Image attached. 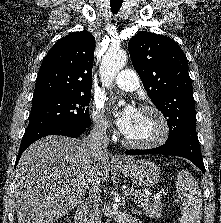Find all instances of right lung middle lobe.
I'll use <instances>...</instances> for the list:
<instances>
[{
	"mask_svg": "<svg viewBox=\"0 0 221 223\" xmlns=\"http://www.w3.org/2000/svg\"><path fill=\"white\" fill-rule=\"evenodd\" d=\"M32 103L26 130L49 124H66L83 128L91 126L87 108L90 103V92L50 96L34 100Z\"/></svg>",
	"mask_w": 221,
	"mask_h": 223,
	"instance_id": "dd1d6c3e",
	"label": "right lung middle lobe"
}]
</instances>
